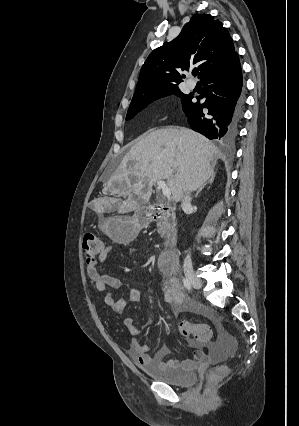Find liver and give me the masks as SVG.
<instances>
[{
  "label": "liver",
  "instance_id": "1",
  "mask_svg": "<svg viewBox=\"0 0 299 426\" xmlns=\"http://www.w3.org/2000/svg\"><path fill=\"white\" fill-rule=\"evenodd\" d=\"M219 156L211 141L190 129L152 131L130 148L103 189L127 199L99 201L119 213L131 212L149 202L157 181L166 180L172 200L179 202L214 176Z\"/></svg>",
  "mask_w": 299,
  "mask_h": 426
}]
</instances>
